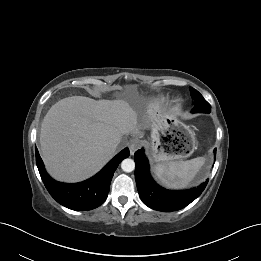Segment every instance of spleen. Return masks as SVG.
Instances as JSON below:
<instances>
[{
  "mask_svg": "<svg viewBox=\"0 0 261 261\" xmlns=\"http://www.w3.org/2000/svg\"><path fill=\"white\" fill-rule=\"evenodd\" d=\"M204 162V157H197L187 161L159 163L154 166V173L168 187L184 188L195 177Z\"/></svg>",
  "mask_w": 261,
  "mask_h": 261,
  "instance_id": "obj_1",
  "label": "spleen"
}]
</instances>
